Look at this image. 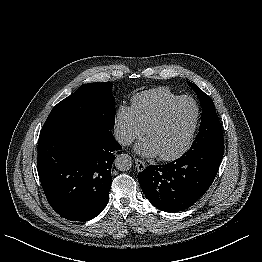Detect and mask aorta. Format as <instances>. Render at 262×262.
Returning <instances> with one entry per match:
<instances>
[{
    "label": "aorta",
    "mask_w": 262,
    "mask_h": 262,
    "mask_svg": "<svg viewBox=\"0 0 262 262\" xmlns=\"http://www.w3.org/2000/svg\"><path fill=\"white\" fill-rule=\"evenodd\" d=\"M114 163L116 169L120 171H128L131 169L133 161L128 154H120L116 157Z\"/></svg>",
    "instance_id": "762f6f07"
}]
</instances>
